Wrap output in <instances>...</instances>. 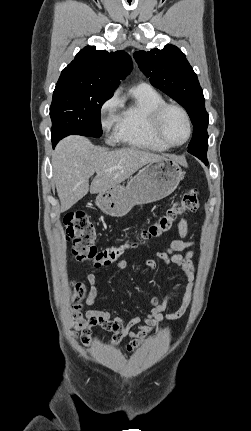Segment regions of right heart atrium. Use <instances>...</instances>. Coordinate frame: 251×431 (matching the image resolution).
<instances>
[{
	"mask_svg": "<svg viewBox=\"0 0 251 431\" xmlns=\"http://www.w3.org/2000/svg\"><path fill=\"white\" fill-rule=\"evenodd\" d=\"M120 105V100L117 94L111 95L100 106L99 117L100 124L104 131L110 132L115 129L117 123V110Z\"/></svg>",
	"mask_w": 251,
	"mask_h": 431,
	"instance_id": "obj_1",
	"label": "right heart atrium"
}]
</instances>
